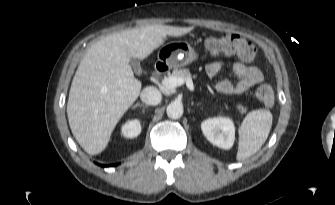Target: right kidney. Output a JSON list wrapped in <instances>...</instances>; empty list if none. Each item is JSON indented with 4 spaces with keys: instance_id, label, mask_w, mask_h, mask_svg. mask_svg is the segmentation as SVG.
Segmentation results:
<instances>
[{
    "instance_id": "obj_1",
    "label": "right kidney",
    "mask_w": 335,
    "mask_h": 205,
    "mask_svg": "<svg viewBox=\"0 0 335 205\" xmlns=\"http://www.w3.org/2000/svg\"><path fill=\"white\" fill-rule=\"evenodd\" d=\"M141 133V125L138 119L127 121L121 127V134L125 138H135Z\"/></svg>"
}]
</instances>
